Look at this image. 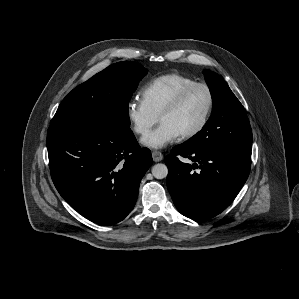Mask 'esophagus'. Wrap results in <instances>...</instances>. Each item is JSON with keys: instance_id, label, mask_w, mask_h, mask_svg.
I'll use <instances>...</instances> for the list:
<instances>
[{"instance_id": "34e87169", "label": "esophagus", "mask_w": 299, "mask_h": 299, "mask_svg": "<svg viewBox=\"0 0 299 299\" xmlns=\"http://www.w3.org/2000/svg\"><path fill=\"white\" fill-rule=\"evenodd\" d=\"M152 157L155 162H159V161L163 160V154L159 151H153Z\"/></svg>"}]
</instances>
